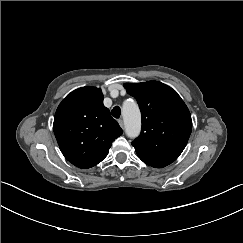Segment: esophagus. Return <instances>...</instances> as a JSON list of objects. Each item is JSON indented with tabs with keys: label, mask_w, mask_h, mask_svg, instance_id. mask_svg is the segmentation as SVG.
Returning a JSON list of instances; mask_svg holds the SVG:
<instances>
[{
	"label": "esophagus",
	"mask_w": 243,
	"mask_h": 243,
	"mask_svg": "<svg viewBox=\"0 0 243 243\" xmlns=\"http://www.w3.org/2000/svg\"><path fill=\"white\" fill-rule=\"evenodd\" d=\"M118 123H119V125L121 126V128H124V122H123L122 119H119V120H118Z\"/></svg>",
	"instance_id": "34e87169"
}]
</instances>
